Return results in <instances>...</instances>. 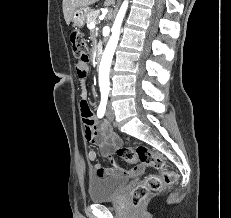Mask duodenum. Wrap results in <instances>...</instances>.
<instances>
[{
    "label": "duodenum",
    "mask_w": 231,
    "mask_h": 218,
    "mask_svg": "<svg viewBox=\"0 0 231 218\" xmlns=\"http://www.w3.org/2000/svg\"><path fill=\"white\" fill-rule=\"evenodd\" d=\"M101 57H102L101 50H97V52L95 53V56H94V63L96 66H99V64L101 62Z\"/></svg>",
    "instance_id": "410a0bca"
}]
</instances>
